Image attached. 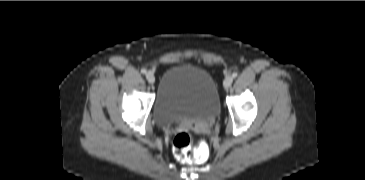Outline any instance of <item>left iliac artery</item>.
<instances>
[{
	"instance_id": "44dca946",
	"label": "left iliac artery",
	"mask_w": 365,
	"mask_h": 180,
	"mask_svg": "<svg viewBox=\"0 0 365 180\" xmlns=\"http://www.w3.org/2000/svg\"><path fill=\"white\" fill-rule=\"evenodd\" d=\"M237 75H238V74H237V72H234V73L232 74V77H233V78H236V77H237Z\"/></svg>"
}]
</instances>
